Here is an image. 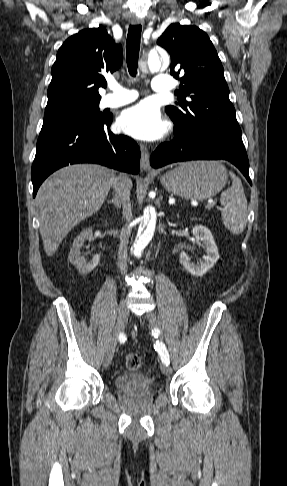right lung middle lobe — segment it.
Segmentation results:
<instances>
[{"instance_id":"obj_1","label":"right lung middle lobe","mask_w":287,"mask_h":486,"mask_svg":"<svg viewBox=\"0 0 287 486\" xmlns=\"http://www.w3.org/2000/svg\"><path fill=\"white\" fill-rule=\"evenodd\" d=\"M99 102L100 100L78 101L46 107L41 131L98 121L104 115L99 111Z\"/></svg>"}]
</instances>
